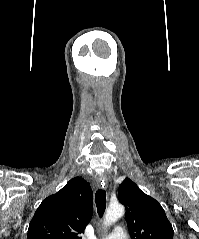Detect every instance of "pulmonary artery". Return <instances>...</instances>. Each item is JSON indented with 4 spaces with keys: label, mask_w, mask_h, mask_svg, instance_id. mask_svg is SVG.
<instances>
[{
    "label": "pulmonary artery",
    "mask_w": 199,
    "mask_h": 239,
    "mask_svg": "<svg viewBox=\"0 0 199 239\" xmlns=\"http://www.w3.org/2000/svg\"><path fill=\"white\" fill-rule=\"evenodd\" d=\"M102 239H127L125 231L121 227H117L111 234Z\"/></svg>",
    "instance_id": "e3ab8cb5"
}]
</instances>
